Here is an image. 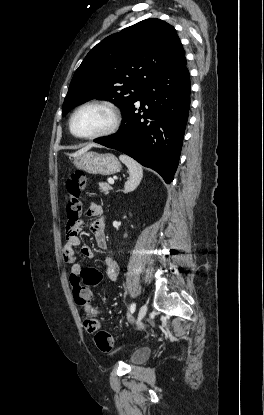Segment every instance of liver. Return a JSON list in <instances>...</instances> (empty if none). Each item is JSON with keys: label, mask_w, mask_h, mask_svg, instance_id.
I'll return each instance as SVG.
<instances>
[{"label": "liver", "mask_w": 264, "mask_h": 415, "mask_svg": "<svg viewBox=\"0 0 264 415\" xmlns=\"http://www.w3.org/2000/svg\"><path fill=\"white\" fill-rule=\"evenodd\" d=\"M93 146H94L93 144L87 145L86 147H84V148H82V149L78 150L76 153H74V156H77V155H79V154H82V153L87 152V151H88L89 149H91Z\"/></svg>", "instance_id": "6515ba94"}]
</instances>
